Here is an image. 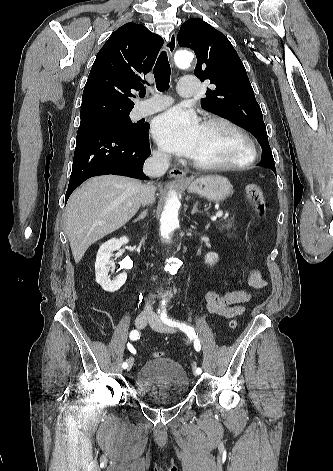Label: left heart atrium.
<instances>
[{
    "instance_id": "left-heart-atrium-1",
    "label": "left heart atrium",
    "mask_w": 333,
    "mask_h": 471,
    "mask_svg": "<svg viewBox=\"0 0 333 471\" xmlns=\"http://www.w3.org/2000/svg\"><path fill=\"white\" fill-rule=\"evenodd\" d=\"M201 124L188 110L174 108L158 116L152 133L166 151L180 156L193 157L200 138Z\"/></svg>"
}]
</instances>
